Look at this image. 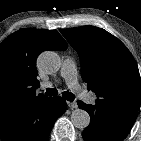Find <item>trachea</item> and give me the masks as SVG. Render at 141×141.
I'll return each instance as SVG.
<instances>
[{
    "instance_id": "1",
    "label": "trachea",
    "mask_w": 141,
    "mask_h": 141,
    "mask_svg": "<svg viewBox=\"0 0 141 141\" xmlns=\"http://www.w3.org/2000/svg\"><path fill=\"white\" fill-rule=\"evenodd\" d=\"M57 94L58 91L55 88H47L45 92L46 96H56ZM62 96L68 101H73L75 99V95L69 91H64Z\"/></svg>"
}]
</instances>
